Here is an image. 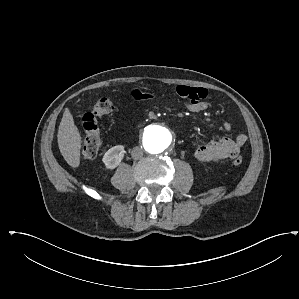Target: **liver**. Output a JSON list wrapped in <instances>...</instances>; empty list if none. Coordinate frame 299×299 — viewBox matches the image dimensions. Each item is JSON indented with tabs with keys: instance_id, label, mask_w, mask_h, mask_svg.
<instances>
[{
	"instance_id": "obj_1",
	"label": "liver",
	"mask_w": 299,
	"mask_h": 299,
	"mask_svg": "<svg viewBox=\"0 0 299 299\" xmlns=\"http://www.w3.org/2000/svg\"><path fill=\"white\" fill-rule=\"evenodd\" d=\"M81 135L70 110L65 109L57 134L59 150L65 161L73 168L79 167Z\"/></svg>"
}]
</instances>
